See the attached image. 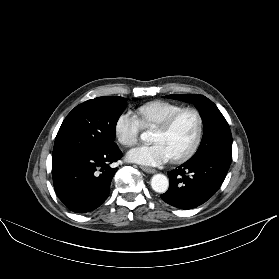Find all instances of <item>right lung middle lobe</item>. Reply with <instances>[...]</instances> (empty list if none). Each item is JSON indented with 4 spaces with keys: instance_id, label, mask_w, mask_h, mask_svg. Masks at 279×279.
<instances>
[{
    "instance_id": "1",
    "label": "right lung middle lobe",
    "mask_w": 279,
    "mask_h": 279,
    "mask_svg": "<svg viewBox=\"0 0 279 279\" xmlns=\"http://www.w3.org/2000/svg\"><path fill=\"white\" fill-rule=\"evenodd\" d=\"M126 101L119 96L98 97L76 106L57 133L53 155L99 153L115 145L116 124Z\"/></svg>"
}]
</instances>
